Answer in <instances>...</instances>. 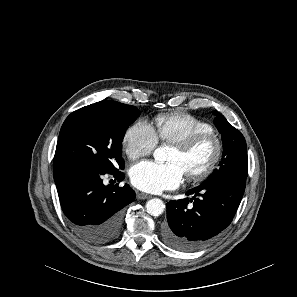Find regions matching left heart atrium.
<instances>
[{
	"instance_id": "1",
	"label": "left heart atrium",
	"mask_w": 297,
	"mask_h": 297,
	"mask_svg": "<svg viewBox=\"0 0 297 297\" xmlns=\"http://www.w3.org/2000/svg\"><path fill=\"white\" fill-rule=\"evenodd\" d=\"M184 177L183 168L175 162L161 164L153 161H142L134 165L130 171L132 184L149 193L174 189L182 183Z\"/></svg>"
}]
</instances>
